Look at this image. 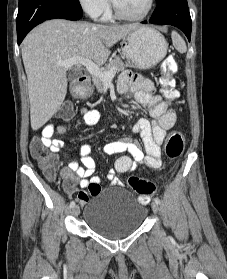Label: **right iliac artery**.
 I'll list each match as a JSON object with an SVG mask.
<instances>
[{"mask_svg": "<svg viewBox=\"0 0 227 279\" xmlns=\"http://www.w3.org/2000/svg\"><path fill=\"white\" fill-rule=\"evenodd\" d=\"M74 206H75V202L72 201V202L70 203V207L73 208Z\"/></svg>", "mask_w": 227, "mask_h": 279, "instance_id": "82829eb1", "label": "right iliac artery"}]
</instances>
